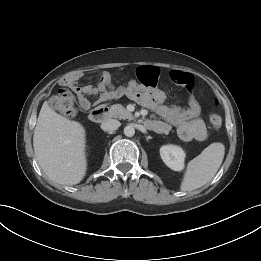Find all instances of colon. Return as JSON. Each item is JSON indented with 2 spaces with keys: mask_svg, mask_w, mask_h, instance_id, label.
<instances>
[{
  "mask_svg": "<svg viewBox=\"0 0 261 261\" xmlns=\"http://www.w3.org/2000/svg\"><path fill=\"white\" fill-rule=\"evenodd\" d=\"M50 104L64 117L72 118L77 113L75 98L68 89L59 90L56 95L52 96ZM209 124L212 131L218 130L222 124L220 115L217 113L210 114Z\"/></svg>",
  "mask_w": 261,
  "mask_h": 261,
  "instance_id": "colon-1",
  "label": "colon"
}]
</instances>
